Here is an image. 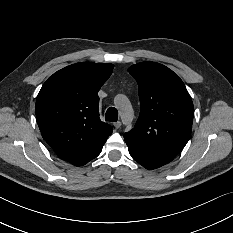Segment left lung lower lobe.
<instances>
[{"label":"left lung lower lobe","mask_w":233,"mask_h":233,"mask_svg":"<svg viewBox=\"0 0 233 233\" xmlns=\"http://www.w3.org/2000/svg\"><path fill=\"white\" fill-rule=\"evenodd\" d=\"M124 139L132 158L147 169L161 167L174 159V157L144 147L129 138L124 137Z\"/></svg>","instance_id":"0a47b994"}]
</instances>
